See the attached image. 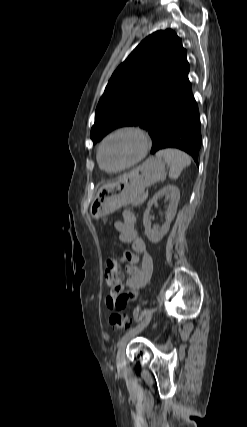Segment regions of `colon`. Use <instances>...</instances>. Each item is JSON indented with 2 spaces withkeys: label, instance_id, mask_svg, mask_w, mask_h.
Returning a JSON list of instances; mask_svg holds the SVG:
<instances>
[{
  "label": "colon",
  "instance_id": "obj_1",
  "mask_svg": "<svg viewBox=\"0 0 247 427\" xmlns=\"http://www.w3.org/2000/svg\"><path fill=\"white\" fill-rule=\"evenodd\" d=\"M122 273L119 262L116 259H109L105 270V283L107 287L114 289L121 281ZM110 324L116 329H129L132 326V318L126 313H113L110 316Z\"/></svg>",
  "mask_w": 247,
  "mask_h": 427
}]
</instances>
